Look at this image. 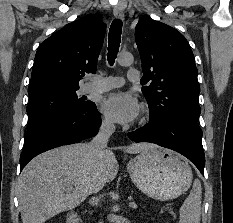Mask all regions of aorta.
<instances>
[{
	"label": "aorta",
	"instance_id": "aorta-1",
	"mask_svg": "<svg viewBox=\"0 0 233 223\" xmlns=\"http://www.w3.org/2000/svg\"><path fill=\"white\" fill-rule=\"evenodd\" d=\"M118 64L120 66H131L133 64V56H120L118 58Z\"/></svg>",
	"mask_w": 233,
	"mask_h": 223
}]
</instances>
